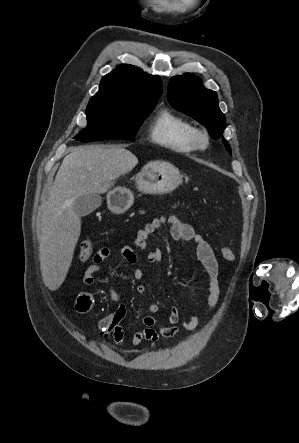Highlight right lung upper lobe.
<instances>
[{
	"mask_svg": "<svg viewBox=\"0 0 299 443\" xmlns=\"http://www.w3.org/2000/svg\"><path fill=\"white\" fill-rule=\"evenodd\" d=\"M161 94L159 76L150 75L132 65H120L102 78L99 91L91 99L152 104L157 103Z\"/></svg>",
	"mask_w": 299,
	"mask_h": 443,
	"instance_id": "cb5924a9",
	"label": "right lung upper lobe"
}]
</instances>
